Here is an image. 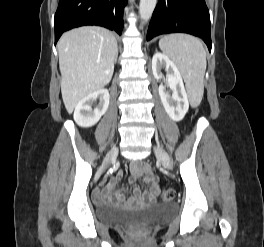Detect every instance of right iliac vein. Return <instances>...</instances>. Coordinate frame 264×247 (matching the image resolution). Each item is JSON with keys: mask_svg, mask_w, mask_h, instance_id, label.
<instances>
[{"mask_svg": "<svg viewBox=\"0 0 264 247\" xmlns=\"http://www.w3.org/2000/svg\"><path fill=\"white\" fill-rule=\"evenodd\" d=\"M117 149L111 150V152L108 154L107 158L104 161V166H108L111 161H113L117 156Z\"/></svg>", "mask_w": 264, "mask_h": 247, "instance_id": "obj_1", "label": "right iliac vein"}]
</instances>
